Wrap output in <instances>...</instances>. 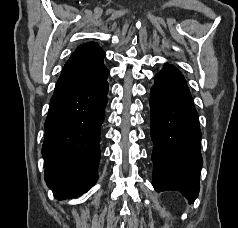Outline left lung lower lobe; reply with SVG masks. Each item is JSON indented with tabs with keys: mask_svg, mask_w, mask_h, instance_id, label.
Here are the masks:
<instances>
[{
	"mask_svg": "<svg viewBox=\"0 0 238 228\" xmlns=\"http://www.w3.org/2000/svg\"><path fill=\"white\" fill-rule=\"evenodd\" d=\"M152 185L157 192L177 190L191 203L199 193L203 163L198 113L187 83L172 65L155 75L150 91Z\"/></svg>",
	"mask_w": 238,
	"mask_h": 228,
	"instance_id": "obj_1",
	"label": "left lung lower lobe"
}]
</instances>
